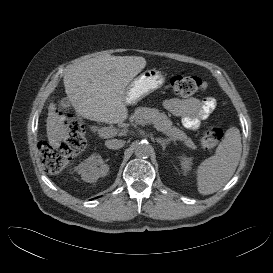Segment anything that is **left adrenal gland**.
Listing matches in <instances>:
<instances>
[{
    "label": "left adrenal gland",
    "instance_id": "obj_1",
    "mask_svg": "<svg viewBox=\"0 0 273 273\" xmlns=\"http://www.w3.org/2000/svg\"><path fill=\"white\" fill-rule=\"evenodd\" d=\"M155 140L162 146L163 151H165L166 145L171 142V139L156 138Z\"/></svg>",
    "mask_w": 273,
    "mask_h": 273
}]
</instances>
